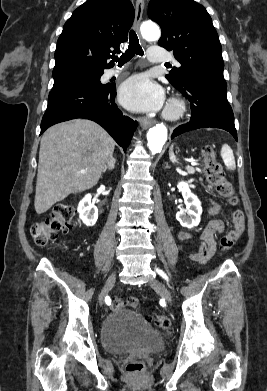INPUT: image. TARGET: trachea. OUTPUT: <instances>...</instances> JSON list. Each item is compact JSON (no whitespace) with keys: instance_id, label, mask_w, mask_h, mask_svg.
Here are the masks:
<instances>
[{"instance_id":"1","label":"trachea","mask_w":267,"mask_h":391,"mask_svg":"<svg viewBox=\"0 0 267 391\" xmlns=\"http://www.w3.org/2000/svg\"><path fill=\"white\" fill-rule=\"evenodd\" d=\"M135 54L143 56L144 52L142 47L139 44V39L136 35V33L131 30L129 35V45L128 49L123 53L120 58L113 56L112 60L119 63V65H123L124 63L128 62ZM169 65V64H165Z\"/></svg>"}]
</instances>
